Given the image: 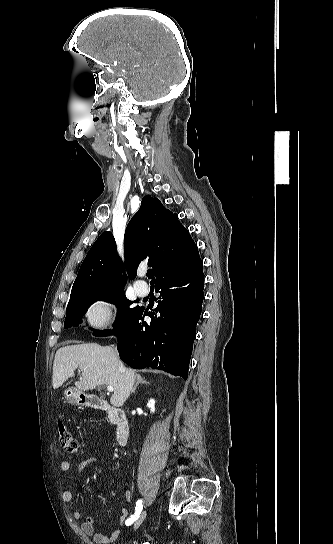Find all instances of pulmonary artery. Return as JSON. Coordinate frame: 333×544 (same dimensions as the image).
<instances>
[{
  "instance_id": "pulmonary-artery-1",
  "label": "pulmonary artery",
  "mask_w": 333,
  "mask_h": 544,
  "mask_svg": "<svg viewBox=\"0 0 333 544\" xmlns=\"http://www.w3.org/2000/svg\"><path fill=\"white\" fill-rule=\"evenodd\" d=\"M134 290L139 296H146L149 292L148 285L141 280L134 283Z\"/></svg>"
}]
</instances>
